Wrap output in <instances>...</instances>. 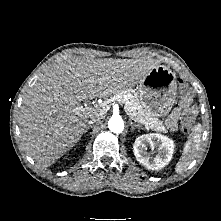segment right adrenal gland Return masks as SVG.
I'll use <instances>...</instances> for the list:
<instances>
[{
	"label": "right adrenal gland",
	"mask_w": 221,
	"mask_h": 221,
	"mask_svg": "<svg viewBox=\"0 0 221 221\" xmlns=\"http://www.w3.org/2000/svg\"><path fill=\"white\" fill-rule=\"evenodd\" d=\"M89 128H90V126H87L86 129L84 130V133L88 132Z\"/></svg>",
	"instance_id": "obj_1"
}]
</instances>
